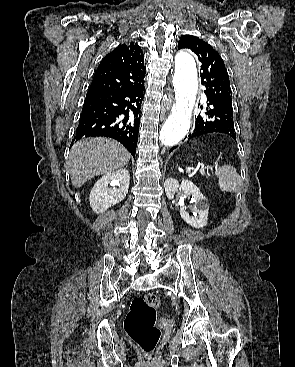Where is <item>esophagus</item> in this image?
I'll return each instance as SVG.
<instances>
[{
    "label": "esophagus",
    "instance_id": "esophagus-1",
    "mask_svg": "<svg viewBox=\"0 0 295 367\" xmlns=\"http://www.w3.org/2000/svg\"><path fill=\"white\" fill-rule=\"evenodd\" d=\"M172 103H173V95L169 94L168 98L164 102L165 109L169 110L171 108Z\"/></svg>",
    "mask_w": 295,
    "mask_h": 367
}]
</instances>
